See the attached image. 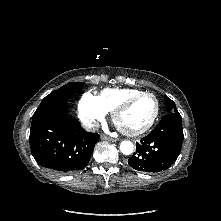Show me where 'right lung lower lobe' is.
Returning a JSON list of instances; mask_svg holds the SVG:
<instances>
[{"mask_svg": "<svg viewBox=\"0 0 221 221\" xmlns=\"http://www.w3.org/2000/svg\"><path fill=\"white\" fill-rule=\"evenodd\" d=\"M99 135L86 132L68 117L67 101L48 106L32 117L31 152L38 164L59 173L84 169Z\"/></svg>", "mask_w": 221, "mask_h": 221, "instance_id": "1", "label": "right lung lower lobe"}]
</instances>
